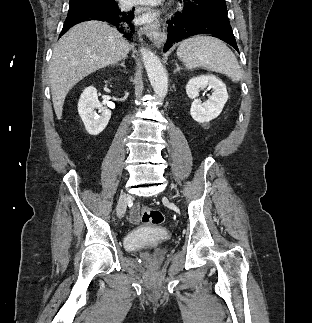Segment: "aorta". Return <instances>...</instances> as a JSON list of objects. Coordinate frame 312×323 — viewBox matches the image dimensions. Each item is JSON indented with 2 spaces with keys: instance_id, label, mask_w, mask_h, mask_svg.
I'll return each instance as SVG.
<instances>
[{
  "instance_id": "aorta-1",
  "label": "aorta",
  "mask_w": 312,
  "mask_h": 323,
  "mask_svg": "<svg viewBox=\"0 0 312 323\" xmlns=\"http://www.w3.org/2000/svg\"><path fill=\"white\" fill-rule=\"evenodd\" d=\"M140 52L150 84L156 96L158 98H165L168 92V80L159 58L150 50H146V48H141Z\"/></svg>"
}]
</instances>
